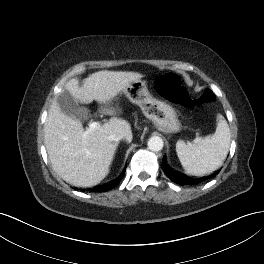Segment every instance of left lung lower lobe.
Segmentation results:
<instances>
[{"instance_id": "0a47b994", "label": "left lung lower lobe", "mask_w": 264, "mask_h": 264, "mask_svg": "<svg viewBox=\"0 0 264 264\" xmlns=\"http://www.w3.org/2000/svg\"><path fill=\"white\" fill-rule=\"evenodd\" d=\"M162 166H163V170L166 173V175L169 177V179L177 184L180 185H194V184H198L201 183L207 179H210L212 177H214L216 174L219 173V171H216L215 173L207 176V177H202V178H191L189 176H186L185 174H182L178 171L173 170L167 163L165 160V157H163L162 159Z\"/></svg>"}]
</instances>
